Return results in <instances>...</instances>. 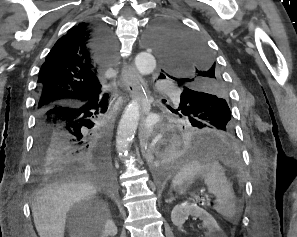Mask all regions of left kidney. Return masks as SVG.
<instances>
[{
    "label": "left kidney",
    "mask_w": 297,
    "mask_h": 237,
    "mask_svg": "<svg viewBox=\"0 0 297 237\" xmlns=\"http://www.w3.org/2000/svg\"><path fill=\"white\" fill-rule=\"evenodd\" d=\"M189 215L203 221L202 226L207 229L206 237H223L222 230L216 220L206 210L194 203L176 205L172 210L171 220L175 226L182 227Z\"/></svg>",
    "instance_id": "5707ae66"
}]
</instances>
